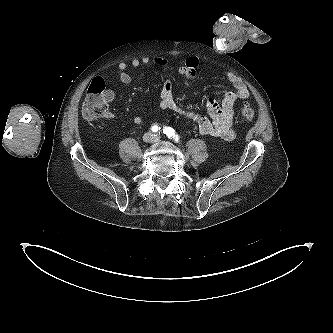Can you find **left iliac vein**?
<instances>
[{
  "mask_svg": "<svg viewBox=\"0 0 333 333\" xmlns=\"http://www.w3.org/2000/svg\"><path fill=\"white\" fill-rule=\"evenodd\" d=\"M160 138L158 136L154 137L155 141H158Z\"/></svg>",
  "mask_w": 333,
  "mask_h": 333,
  "instance_id": "1",
  "label": "left iliac vein"
}]
</instances>
